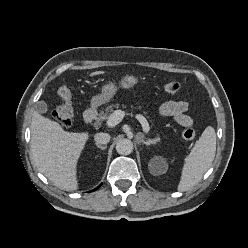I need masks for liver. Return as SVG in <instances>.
<instances>
[{
    "mask_svg": "<svg viewBox=\"0 0 248 248\" xmlns=\"http://www.w3.org/2000/svg\"><path fill=\"white\" fill-rule=\"evenodd\" d=\"M96 71L90 76L104 74ZM31 157L38 168L55 186L76 190L77 162L89 139L86 132H67L57 122L33 113L31 126Z\"/></svg>",
    "mask_w": 248,
    "mask_h": 248,
    "instance_id": "obj_1",
    "label": "liver"
}]
</instances>
